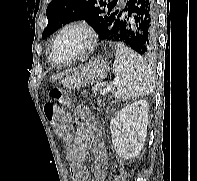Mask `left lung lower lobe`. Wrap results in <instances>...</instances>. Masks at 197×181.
<instances>
[{
	"label": "left lung lower lobe",
	"instance_id": "1",
	"mask_svg": "<svg viewBox=\"0 0 197 181\" xmlns=\"http://www.w3.org/2000/svg\"><path fill=\"white\" fill-rule=\"evenodd\" d=\"M100 40L122 42L142 56H152L157 48L156 0H127Z\"/></svg>",
	"mask_w": 197,
	"mask_h": 181
}]
</instances>
